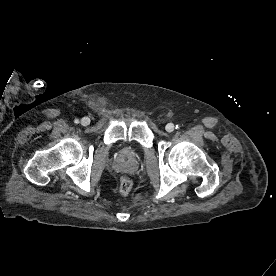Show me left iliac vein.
Returning <instances> with one entry per match:
<instances>
[{
    "label": "left iliac vein",
    "mask_w": 276,
    "mask_h": 276,
    "mask_svg": "<svg viewBox=\"0 0 276 276\" xmlns=\"http://www.w3.org/2000/svg\"><path fill=\"white\" fill-rule=\"evenodd\" d=\"M165 129L167 132H172L174 130V125L172 123H168Z\"/></svg>",
    "instance_id": "obj_1"
}]
</instances>
